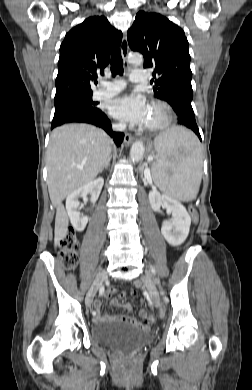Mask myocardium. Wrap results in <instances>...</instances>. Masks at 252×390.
Returning <instances> with one entry per match:
<instances>
[{
    "mask_svg": "<svg viewBox=\"0 0 252 390\" xmlns=\"http://www.w3.org/2000/svg\"><path fill=\"white\" fill-rule=\"evenodd\" d=\"M150 106L161 109L164 113V118L161 122L155 125L145 126V130L148 132H160L165 130L167 127H169V125L173 120V115H174L172 107L168 103L161 100L152 101L150 103Z\"/></svg>",
    "mask_w": 252,
    "mask_h": 390,
    "instance_id": "1",
    "label": "myocardium"
}]
</instances>
